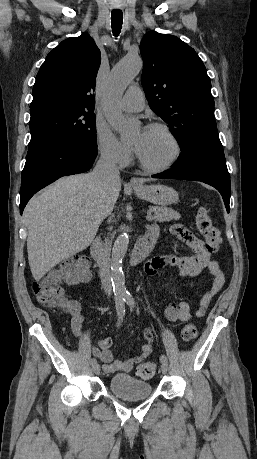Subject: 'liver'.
Returning a JSON list of instances; mask_svg holds the SVG:
<instances>
[{"label": "liver", "instance_id": "1", "mask_svg": "<svg viewBox=\"0 0 257 459\" xmlns=\"http://www.w3.org/2000/svg\"><path fill=\"white\" fill-rule=\"evenodd\" d=\"M120 191V181L103 189L91 172L61 178L27 204L28 260L36 281L91 244Z\"/></svg>", "mask_w": 257, "mask_h": 459}]
</instances>
